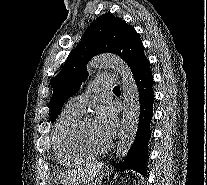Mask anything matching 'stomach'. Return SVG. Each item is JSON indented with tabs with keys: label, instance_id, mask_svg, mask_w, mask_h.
<instances>
[{
	"label": "stomach",
	"instance_id": "obj_1",
	"mask_svg": "<svg viewBox=\"0 0 207 185\" xmlns=\"http://www.w3.org/2000/svg\"><path fill=\"white\" fill-rule=\"evenodd\" d=\"M57 185H62V183H57Z\"/></svg>",
	"mask_w": 207,
	"mask_h": 185
}]
</instances>
